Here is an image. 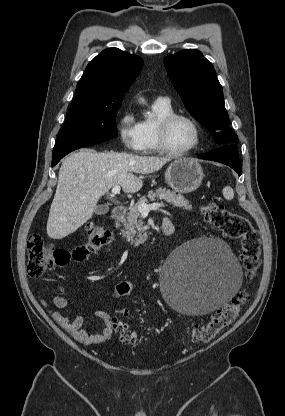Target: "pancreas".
Listing matches in <instances>:
<instances>
[{"instance_id":"cf45deb5","label":"pancreas","mask_w":285,"mask_h":416,"mask_svg":"<svg viewBox=\"0 0 285 416\" xmlns=\"http://www.w3.org/2000/svg\"><path fill=\"white\" fill-rule=\"evenodd\" d=\"M165 198L166 202H170L173 204L174 208H184V210H192L191 204H189L188 200L181 196V194H176V192H171V190H165V188H159V190H154V192H148V196H142L140 200H138V204H133V206H129L126 222H122V226L124 230H121L122 236L126 238L127 242L130 244H142V242H146L148 238V234H146L142 220L140 218V212L138 210L139 204H145L148 202L147 198H149L150 202H155V198Z\"/></svg>"}]
</instances>
